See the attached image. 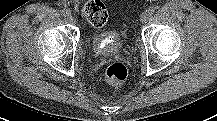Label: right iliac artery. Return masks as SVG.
I'll return each instance as SVG.
<instances>
[{
    "instance_id": "right-iliac-artery-1",
    "label": "right iliac artery",
    "mask_w": 217,
    "mask_h": 121,
    "mask_svg": "<svg viewBox=\"0 0 217 121\" xmlns=\"http://www.w3.org/2000/svg\"><path fill=\"white\" fill-rule=\"evenodd\" d=\"M61 13H62L65 17H68V16L71 15L70 10H68V9H63V10H61Z\"/></svg>"
}]
</instances>
